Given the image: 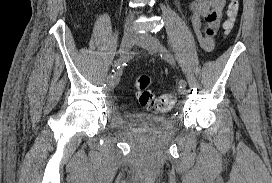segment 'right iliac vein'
I'll return each instance as SVG.
<instances>
[{
    "label": "right iliac vein",
    "mask_w": 272,
    "mask_h": 183,
    "mask_svg": "<svg viewBox=\"0 0 272 183\" xmlns=\"http://www.w3.org/2000/svg\"><path fill=\"white\" fill-rule=\"evenodd\" d=\"M135 42H136V36L132 32H126L124 34L121 41V45H120V54L122 58L125 59L127 57L130 49L132 48ZM119 78L120 76L113 81L108 75L106 79L108 88H111V89L114 88L118 84Z\"/></svg>",
    "instance_id": "right-iliac-vein-1"
}]
</instances>
